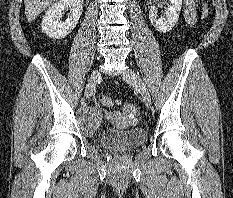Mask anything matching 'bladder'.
<instances>
[{
  "instance_id": "1",
  "label": "bladder",
  "mask_w": 233,
  "mask_h": 198,
  "mask_svg": "<svg viewBox=\"0 0 233 198\" xmlns=\"http://www.w3.org/2000/svg\"><path fill=\"white\" fill-rule=\"evenodd\" d=\"M103 118L102 111L93 107L87 109L81 116L84 129L89 133H96ZM99 142L112 151L124 152L138 147L146 142L147 132L141 127L126 130H111L98 134Z\"/></svg>"
}]
</instances>
